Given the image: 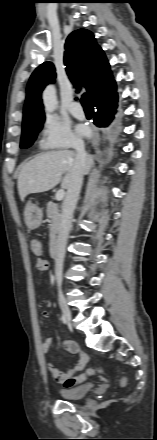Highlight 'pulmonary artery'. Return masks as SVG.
Masks as SVG:
<instances>
[{"mask_svg":"<svg viewBox=\"0 0 157 440\" xmlns=\"http://www.w3.org/2000/svg\"><path fill=\"white\" fill-rule=\"evenodd\" d=\"M69 111L75 117H78V118H83L84 117L83 108H82V106H81V104L79 102H76V101L72 102L69 105Z\"/></svg>","mask_w":157,"mask_h":440,"instance_id":"e3ab8cb5","label":"pulmonary artery"}]
</instances>
